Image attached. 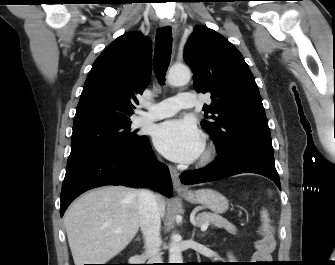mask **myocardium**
Wrapping results in <instances>:
<instances>
[{
	"label": "myocardium",
	"instance_id": "f54148a6",
	"mask_svg": "<svg viewBox=\"0 0 335 265\" xmlns=\"http://www.w3.org/2000/svg\"><path fill=\"white\" fill-rule=\"evenodd\" d=\"M216 156V149L212 144H207L203 148V151L200 155V158L198 160V164L200 166H206L210 164Z\"/></svg>",
	"mask_w": 335,
	"mask_h": 265
}]
</instances>
